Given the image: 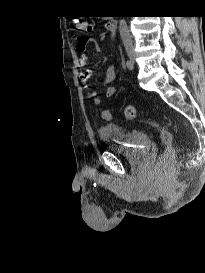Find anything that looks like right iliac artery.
Wrapping results in <instances>:
<instances>
[{
	"mask_svg": "<svg viewBox=\"0 0 205 273\" xmlns=\"http://www.w3.org/2000/svg\"><path fill=\"white\" fill-rule=\"evenodd\" d=\"M126 67H127L128 70L133 69V64L131 63V61H129V60L126 61Z\"/></svg>",
	"mask_w": 205,
	"mask_h": 273,
	"instance_id": "right-iliac-artery-1",
	"label": "right iliac artery"
}]
</instances>
